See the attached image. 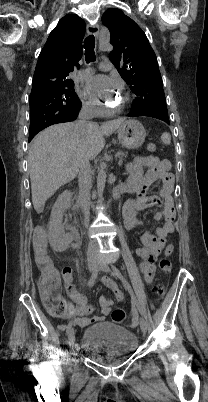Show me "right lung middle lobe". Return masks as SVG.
Wrapping results in <instances>:
<instances>
[{
    "label": "right lung middle lobe",
    "mask_w": 208,
    "mask_h": 402,
    "mask_svg": "<svg viewBox=\"0 0 208 402\" xmlns=\"http://www.w3.org/2000/svg\"><path fill=\"white\" fill-rule=\"evenodd\" d=\"M80 105L72 80L41 85L30 94L31 119L47 114L74 112Z\"/></svg>",
    "instance_id": "1"
}]
</instances>
